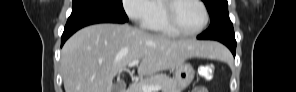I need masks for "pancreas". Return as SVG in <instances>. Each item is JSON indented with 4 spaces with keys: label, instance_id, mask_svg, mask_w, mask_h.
Instances as JSON below:
<instances>
[{
    "label": "pancreas",
    "instance_id": "1",
    "mask_svg": "<svg viewBox=\"0 0 296 92\" xmlns=\"http://www.w3.org/2000/svg\"><path fill=\"white\" fill-rule=\"evenodd\" d=\"M160 85L161 92H181L182 88L178 87L175 79L168 77L165 74H157L146 77L139 83L133 84L131 92H143L142 85Z\"/></svg>",
    "mask_w": 296,
    "mask_h": 92
}]
</instances>
